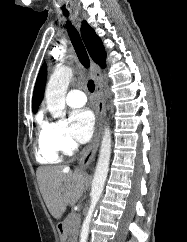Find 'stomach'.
I'll return each mask as SVG.
<instances>
[{"label":"stomach","instance_id":"1","mask_svg":"<svg viewBox=\"0 0 187 242\" xmlns=\"http://www.w3.org/2000/svg\"><path fill=\"white\" fill-rule=\"evenodd\" d=\"M59 236H60L61 242H65L66 236L63 233L62 228H59Z\"/></svg>","mask_w":187,"mask_h":242}]
</instances>
